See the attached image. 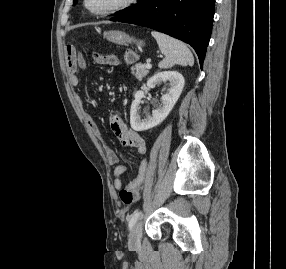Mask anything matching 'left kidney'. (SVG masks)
<instances>
[{
	"mask_svg": "<svg viewBox=\"0 0 286 269\" xmlns=\"http://www.w3.org/2000/svg\"><path fill=\"white\" fill-rule=\"evenodd\" d=\"M168 82L170 89L161 97L162 105L152 111V115H147L146 119L141 120L138 110L144 91H137L135 99L130 109V124L135 131H145L160 124L173 109L179 99L184 87V78L177 71H164L155 74L147 81L148 88H154L161 82Z\"/></svg>",
	"mask_w": 286,
	"mask_h": 269,
	"instance_id": "5707ae66",
	"label": "left kidney"
}]
</instances>
